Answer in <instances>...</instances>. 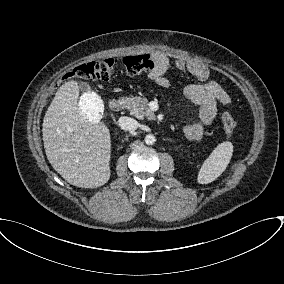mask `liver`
<instances>
[{"mask_svg":"<svg viewBox=\"0 0 284 284\" xmlns=\"http://www.w3.org/2000/svg\"><path fill=\"white\" fill-rule=\"evenodd\" d=\"M75 80L57 90L42 124L45 153L49 163L68 183L97 188L110 178L111 138L102 122L82 118Z\"/></svg>","mask_w":284,"mask_h":284,"instance_id":"obj_1","label":"liver"}]
</instances>
